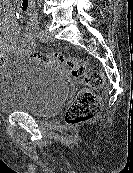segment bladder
I'll return each instance as SVG.
<instances>
[{
  "instance_id": "1",
  "label": "bladder",
  "mask_w": 133,
  "mask_h": 173,
  "mask_svg": "<svg viewBox=\"0 0 133 173\" xmlns=\"http://www.w3.org/2000/svg\"><path fill=\"white\" fill-rule=\"evenodd\" d=\"M69 86L57 69L28 58H13L0 69V113L52 116L65 101Z\"/></svg>"
}]
</instances>
